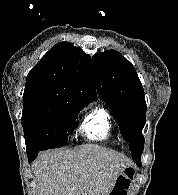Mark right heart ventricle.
I'll return each instance as SVG.
<instances>
[{
  "instance_id": "obj_1",
  "label": "right heart ventricle",
  "mask_w": 178,
  "mask_h": 195,
  "mask_svg": "<svg viewBox=\"0 0 178 195\" xmlns=\"http://www.w3.org/2000/svg\"><path fill=\"white\" fill-rule=\"evenodd\" d=\"M80 128L83 136L92 141L107 142L115 136L112 117L108 110L101 106L86 114Z\"/></svg>"
}]
</instances>
